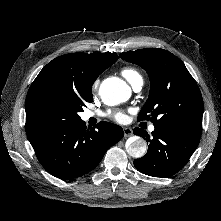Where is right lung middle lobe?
Masks as SVG:
<instances>
[{"label":"right lung middle lobe","instance_id":"dd1d6c3e","mask_svg":"<svg viewBox=\"0 0 221 221\" xmlns=\"http://www.w3.org/2000/svg\"><path fill=\"white\" fill-rule=\"evenodd\" d=\"M92 91L77 94L54 86L39 90L30 103V119L35 126L71 124L81 120L78 115L87 102H92Z\"/></svg>","mask_w":221,"mask_h":221}]
</instances>
